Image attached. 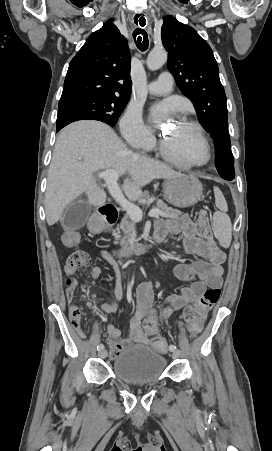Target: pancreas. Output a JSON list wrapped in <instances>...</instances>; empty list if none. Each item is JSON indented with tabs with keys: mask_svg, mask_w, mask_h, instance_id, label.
I'll return each mask as SVG.
<instances>
[{
	"mask_svg": "<svg viewBox=\"0 0 272 451\" xmlns=\"http://www.w3.org/2000/svg\"><path fill=\"white\" fill-rule=\"evenodd\" d=\"M145 198H148V194H142L141 198H139L138 202L140 200H145ZM153 210H161L165 216H168V218H179L183 212H180V210H173V208H168L167 204H164V202H161V200H157L156 206H154ZM136 222L134 220H131L129 214H125L124 218L121 220V224L119 227H116L117 231H123V233H126L124 237H121L120 245H122V249H127L129 245V241L131 239V235H133L132 231H134V226Z\"/></svg>",
	"mask_w": 272,
	"mask_h": 451,
	"instance_id": "cf45deb5",
	"label": "pancreas"
}]
</instances>
